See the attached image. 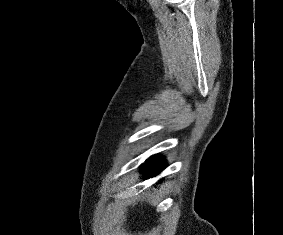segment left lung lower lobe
<instances>
[{
    "label": "left lung lower lobe",
    "mask_w": 283,
    "mask_h": 235,
    "mask_svg": "<svg viewBox=\"0 0 283 235\" xmlns=\"http://www.w3.org/2000/svg\"><path fill=\"white\" fill-rule=\"evenodd\" d=\"M165 165L166 163L161 156H152L142 167L144 177L149 178L155 176L164 168Z\"/></svg>",
    "instance_id": "left-lung-lower-lobe-1"
}]
</instances>
